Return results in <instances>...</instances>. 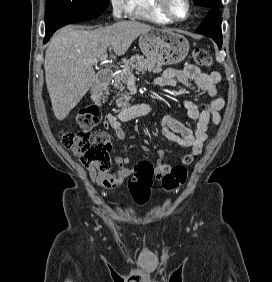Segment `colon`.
I'll return each mask as SVG.
<instances>
[{
    "instance_id": "obj_1",
    "label": "colon",
    "mask_w": 272,
    "mask_h": 282,
    "mask_svg": "<svg viewBox=\"0 0 272 282\" xmlns=\"http://www.w3.org/2000/svg\"><path fill=\"white\" fill-rule=\"evenodd\" d=\"M193 59L197 65L202 67H208L212 62L209 53L202 48L194 49ZM74 120L79 129L61 133V144L76 156L86 168L108 172L111 150L109 136L105 132L98 134L92 132V129L99 121L97 107L95 105H85L79 108ZM150 170L148 162H140L134 167L133 174L128 180L131 196L138 205H144L150 199ZM186 178L187 170L185 167H173L162 176V189L166 193L175 192L186 182Z\"/></svg>"
}]
</instances>
